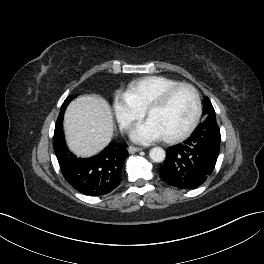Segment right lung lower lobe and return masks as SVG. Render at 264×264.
<instances>
[{"label": "right lung lower lobe", "mask_w": 264, "mask_h": 264, "mask_svg": "<svg viewBox=\"0 0 264 264\" xmlns=\"http://www.w3.org/2000/svg\"><path fill=\"white\" fill-rule=\"evenodd\" d=\"M63 115L55 125L53 147L64 178L86 195L100 196L112 191L121 181L123 163L128 156L126 144L110 143L96 156L78 158L65 144Z\"/></svg>", "instance_id": "98d812e1"}]
</instances>
